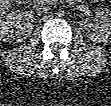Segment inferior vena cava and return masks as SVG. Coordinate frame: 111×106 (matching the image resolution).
<instances>
[{
    "mask_svg": "<svg viewBox=\"0 0 111 106\" xmlns=\"http://www.w3.org/2000/svg\"><path fill=\"white\" fill-rule=\"evenodd\" d=\"M33 8L41 13H45L49 11V6H47V1L45 0H35L33 4Z\"/></svg>",
    "mask_w": 111,
    "mask_h": 106,
    "instance_id": "obj_1",
    "label": "inferior vena cava"
}]
</instances>
